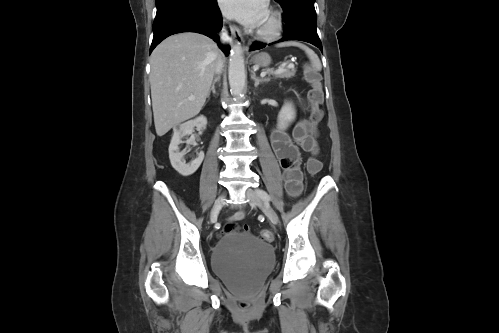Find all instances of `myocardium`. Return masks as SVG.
Here are the masks:
<instances>
[{
	"instance_id": "f54148a6",
	"label": "myocardium",
	"mask_w": 499,
	"mask_h": 333,
	"mask_svg": "<svg viewBox=\"0 0 499 333\" xmlns=\"http://www.w3.org/2000/svg\"><path fill=\"white\" fill-rule=\"evenodd\" d=\"M269 22L265 26H260L256 35L265 41L278 38L283 30V16L280 11L270 9L267 12Z\"/></svg>"
}]
</instances>
